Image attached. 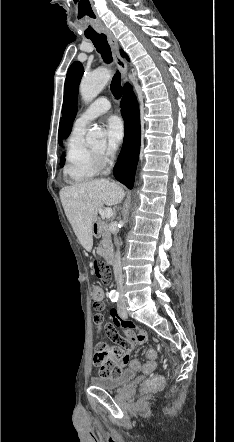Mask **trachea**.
<instances>
[{"mask_svg":"<svg viewBox=\"0 0 234 442\" xmlns=\"http://www.w3.org/2000/svg\"><path fill=\"white\" fill-rule=\"evenodd\" d=\"M88 38L92 41V43L94 44L98 53L101 55L104 62L107 64L111 63L113 59H112L110 46L107 42V36L102 33ZM120 78H121L120 73L119 71H117L114 74L110 84V89L116 99H119L122 96V87H121Z\"/></svg>","mask_w":234,"mask_h":442,"instance_id":"trachea-1","label":"trachea"}]
</instances>
